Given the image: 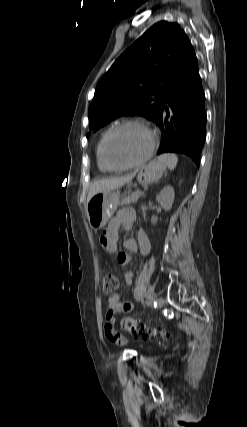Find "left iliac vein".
<instances>
[{
    "label": "left iliac vein",
    "mask_w": 247,
    "mask_h": 427,
    "mask_svg": "<svg viewBox=\"0 0 247 427\" xmlns=\"http://www.w3.org/2000/svg\"><path fill=\"white\" fill-rule=\"evenodd\" d=\"M156 303H157V308H158V309H159V308H161V307L163 306V304H164V300H163V298L158 297V298L156 299Z\"/></svg>",
    "instance_id": "left-iliac-vein-1"
}]
</instances>
